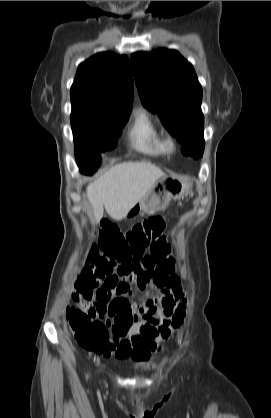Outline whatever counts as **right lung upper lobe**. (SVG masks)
<instances>
[{
  "instance_id": "right-lung-upper-lobe-1",
  "label": "right lung upper lobe",
  "mask_w": 271,
  "mask_h": 418,
  "mask_svg": "<svg viewBox=\"0 0 271 418\" xmlns=\"http://www.w3.org/2000/svg\"><path fill=\"white\" fill-rule=\"evenodd\" d=\"M70 94L72 107L129 114L133 102V77L128 58L104 52L81 63Z\"/></svg>"
}]
</instances>
